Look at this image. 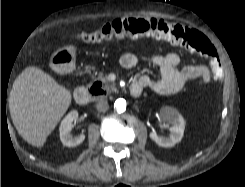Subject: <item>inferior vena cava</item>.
<instances>
[{"label":"inferior vena cava","mask_w":245,"mask_h":187,"mask_svg":"<svg viewBox=\"0 0 245 187\" xmlns=\"http://www.w3.org/2000/svg\"><path fill=\"white\" fill-rule=\"evenodd\" d=\"M96 108L99 112H106L109 108L108 101L106 99H100L97 102Z\"/></svg>","instance_id":"1"}]
</instances>
